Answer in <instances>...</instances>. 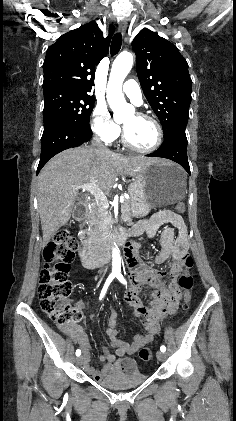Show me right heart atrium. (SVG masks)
Instances as JSON below:
<instances>
[{
	"label": "right heart atrium",
	"instance_id": "obj_1",
	"mask_svg": "<svg viewBox=\"0 0 236 421\" xmlns=\"http://www.w3.org/2000/svg\"><path fill=\"white\" fill-rule=\"evenodd\" d=\"M91 129L103 143H111L120 135L119 125L112 119L107 107L97 103L91 114Z\"/></svg>",
	"mask_w": 236,
	"mask_h": 421
}]
</instances>
